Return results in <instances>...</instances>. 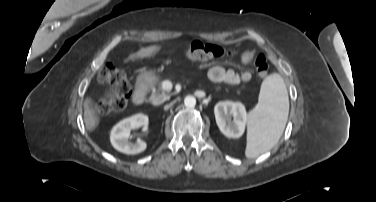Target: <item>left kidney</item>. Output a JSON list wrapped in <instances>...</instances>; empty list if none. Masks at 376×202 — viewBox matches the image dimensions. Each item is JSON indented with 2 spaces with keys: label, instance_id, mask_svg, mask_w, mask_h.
Listing matches in <instances>:
<instances>
[{
  "label": "left kidney",
  "instance_id": "5707ae66",
  "mask_svg": "<svg viewBox=\"0 0 376 202\" xmlns=\"http://www.w3.org/2000/svg\"><path fill=\"white\" fill-rule=\"evenodd\" d=\"M214 114L220 131L226 137L239 138L243 135L248 114L242 103L232 101L218 102L214 107Z\"/></svg>",
  "mask_w": 376,
  "mask_h": 202
}]
</instances>
